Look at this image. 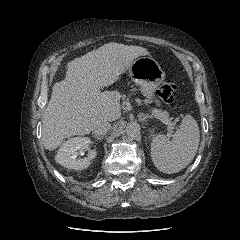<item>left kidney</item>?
<instances>
[{"mask_svg":"<svg viewBox=\"0 0 240 240\" xmlns=\"http://www.w3.org/2000/svg\"><path fill=\"white\" fill-rule=\"evenodd\" d=\"M150 133H151V135L153 136L154 129H151V130H150Z\"/></svg>","mask_w":240,"mask_h":240,"instance_id":"left-kidney-1","label":"left kidney"}]
</instances>
